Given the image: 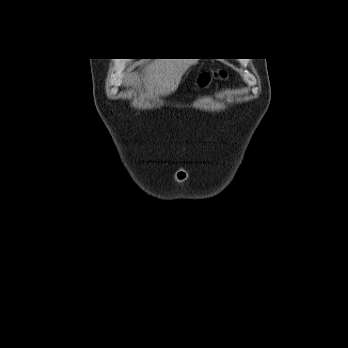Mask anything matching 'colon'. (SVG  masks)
<instances>
[{
	"mask_svg": "<svg viewBox=\"0 0 348 348\" xmlns=\"http://www.w3.org/2000/svg\"><path fill=\"white\" fill-rule=\"evenodd\" d=\"M227 76L226 72L223 70L216 71L213 73H203L198 78V85L200 87H205L210 84L213 80L225 79Z\"/></svg>",
	"mask_w": 348,
	"mask_h": 348,
	"instance_id": "colon-1",
	"label": "colon"
}]
</instances>
